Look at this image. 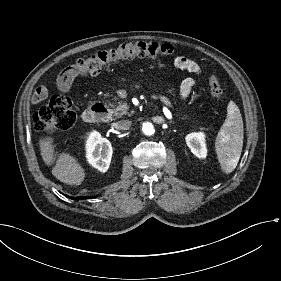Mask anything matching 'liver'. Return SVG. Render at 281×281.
<instances>
[{"mask_svg":"<svg viewBox=\"0 0 281 281\" xmlns=\"http://www.w3.org/2000/svg\"><path fill=\"white\" fill-rule=\"evenodd\" d=\"M43 161L47 165L53 162L52 138H45L39 141ZM52 174L61 182L68 185H81L85 178L84 169L77 161L68 154H62L52 169Z\"/></svg>","mask_w":281,"mask_h":281,"instance_id":"liver-1","label":"liver"}]
</instances>
